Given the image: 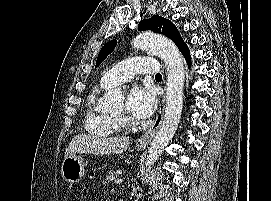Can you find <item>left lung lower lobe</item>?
I'll use <instances>...</instances> for the list:
<instances>
[{
	"label": "left lung lower lobe",
	"mask_w": 271,
	"mask_h": 201,
	"mask_svg": "<svg viewBox=\"0 0 271 201\" xmlns=\"http://www.w3.org/2000/svg\"><path fill=\"white\" fill-rule=\"evenodd\" d=\"M180 51L182 52V54L184 55V57L186 58L188 64L190 63V53L188 50V47L186 46V44H184L181 48Z\"/></svg>",
	"instance_id": "1"
}]
</instances>
